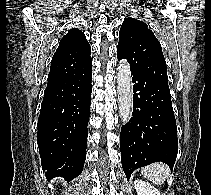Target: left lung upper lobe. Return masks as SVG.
Returning a JSON list of instances; mask_svg holds the SVG:
<instances>
[{
    "instance_id": "left-lung-upper-lobe-1",
    "label": "left lung upper lobe",
    "mask_w": 211,
    "mask_h": 195,
    "mask_svg": "<svg viewBox=\"0 0 211 195\" xmlns=\"http://www.w3.org/2000/svg\"><path fill=\"white\" fill-rule=\"evenodd\" d=\"M117 55L127 59L131 70L147 74L170 91L161 44L147 24L130 17L124 19Z\"/></svg>"
}]
</instances>
